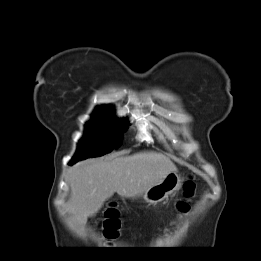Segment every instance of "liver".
Instances as JSON below:
<instances>
[{"label": "liver", "mask_w": 261, "mask_h": 261, "mask_svg": "<svg viewBox=\"0 0 261 261\" xmlns=\"http://www.w3.org/2000/svg\"><path fill=\"white\" fill-rule=\"evenodd\" d=\"M176 170L170 158L154 151L79 162L68 170L69 212L83 227L115 192L134 198Z\"/></svg>", "instance_id": "6515ba94"}]
</instances>
